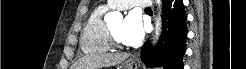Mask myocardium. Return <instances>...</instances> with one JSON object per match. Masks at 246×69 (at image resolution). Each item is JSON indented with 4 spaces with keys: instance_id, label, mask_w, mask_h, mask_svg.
<instances>
[{
    "instance_id": "f54148a6",
    "label": "myocardium",
    "mask_w": 246,
    "mask_h": 69,
    "mask_svg": "<svg viewBox=\"0 0 246 69\" xmlns=\"http://www.w3.org/2000/svg\"><path fill=\"white\" fill-rule=\"evenodd\" d=\"M108 34H109V39L111 41V43L113 45L116 46H122L123 44L115 37V35L113 34V32L111 31V29L109 28L108 30Z\"/></svg>"
}]
</instances>
